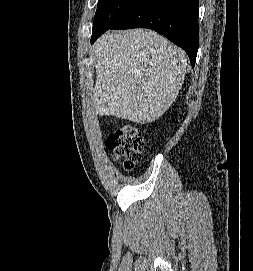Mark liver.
Instances as JSON below:
<instances>
[{
  "mask_svg": "<svg viewBox=\"0 0 253 271\" xmlns=\"http://www.w3.org/2000/svg\"><path fill=\"white\" fill-rule=\"evenodd\" d=\"M99 115L151 123L175 101L185 79L186 54L154 31H108L93 45Z\"/></svg>",
  "mask_w": 253,
  "mask_h": 271,
  "instance_id": "obj_1",
  "label": "liver"
}]
</instances>
